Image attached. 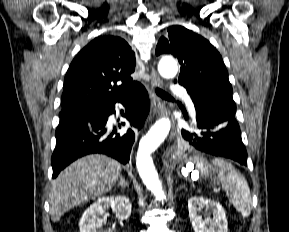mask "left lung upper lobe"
<instances>
[{
  "label": "left lung upper lobe",
  "instance_id": "5c2ea615",
  "mask_svg": "<svg viewBox=\"0 0 289 232\" xmlns=\"http://www.w3.org/2000/svg\"><path fill=\"white\" fill-rule=\"evenodd\" d=\"M161 37L156 55L172 54L178 58L181 71L177 81L193 98L204 99L236 111L232 86L219 52L202 36L182 26L167 29Z\"/></svg>",
  "mask_w": 289,
  "mask_h": 232
}]
</instances>
